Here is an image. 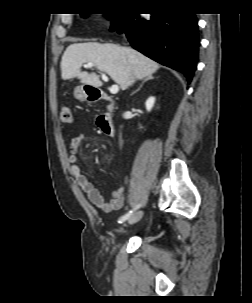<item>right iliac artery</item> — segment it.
<instances>
[{
    "label": "right iliac artery",
    "mask_w": 252,
    "mask_h": 303,
    "mask_svg": "<svg viewBox=\"0 0 252 303\" xmlns=\"http://www.w3.org/2000/svg\"><path fill=\"white\" fill-rule=\"evenodd\" d=\"M139 207H140V205L136 206V208L134 210H130L127 214L123 215L119 219V223H123L125 220H127L133 214V212Z\"/></svg>",
    "instance_id": "right-iliac-artery-1"
}]
</instances>
